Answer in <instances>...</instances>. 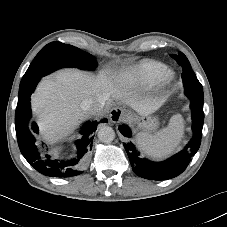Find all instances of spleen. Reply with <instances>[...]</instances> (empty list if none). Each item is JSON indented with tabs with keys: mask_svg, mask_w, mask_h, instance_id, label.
Instances as JSON below:
<instances>
[{
	"mask_svg": "<svg viewBox=\"0 0 227 227\" xmlns=\"http://www.w3.org/2000/svg\"><path fill=\"white\" fill-rule=\"evenodd\" d=\"M184 133V121L180 114L173 115L169 124L155 135L141 133L137 142L142 151L153 158L170 155L180 143Z\"/></svg>",
	"mask_w": 227,
	"mask_h": 227,
	"instance_id": "1",
	"label": "spleen"
}]
</instances>
